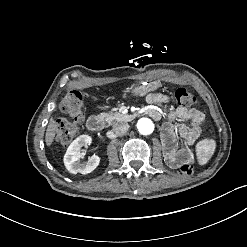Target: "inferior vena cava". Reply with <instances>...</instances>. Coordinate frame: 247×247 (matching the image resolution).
<instances>
[{
    "instance_id": "602c4592",
    "label": "inferior vena cava",
    "mask_w": 247,
    "mask_h": 247,
    "mask_svg": "<svg viewBox=\"0 0 247 247\" xmlns=\"http://www.w3.org/2000/svg\"><path fill=\"white\" fill-rule=\"evenodd\" d=\"M128 129L129 125L125 122H119L113 126V131L116 135H123L128 131Z\"/></svg>"
}]
</instances>
